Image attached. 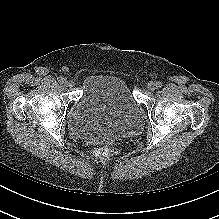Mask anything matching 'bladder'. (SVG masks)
Listing matches in <instances>:
<instances>
[{"instance_id":"31cf9c89","label":"bladder","mask_w":219,"mask_h":219,"mask_svg":"<svg viewBox=\"0 0 219 219\" xmlns=\"http://www.w3.org/2000/svg\"><path fill=\"white\" fill-rule=\"evenodd\" d=\"M142 123L143 108L126 81L106 73L87 79L67 118L69 133L91 142H108L134 133Z\"/></svg>"}]
</instances>
